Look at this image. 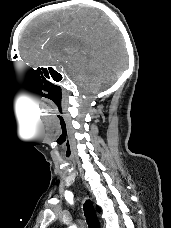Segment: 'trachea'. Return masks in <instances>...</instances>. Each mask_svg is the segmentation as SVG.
<instances>
[{
    "instance_id": "3493384b",
    "label": "trachea",
    "mask_w": 171,
    "mask_h": 228,
    "mask_svg": "<svg viewBox=\"0 0 171 228\" xmlns=\"http://www.w3.org/2000/svg\"><path fill=\"white\" fill-rule=\"evenodd\" d=\"M83 210H84V214L89 228H100L95 209L90 200H87L84 203Z\"/></svg>"
}]
</instances>
